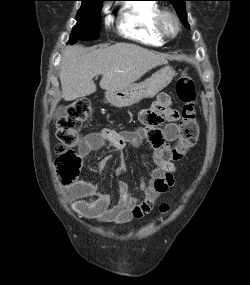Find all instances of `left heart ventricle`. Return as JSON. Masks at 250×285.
Segmentation results:
<instances>
[{
    "mask_svg": "<svg viewBox=\"0 0 250 285\" xmlns=\"http://www.w3.org/2000/svg\"><path fill=\"white\" fill-rule=\"evenodd\" d=\"M165 28H166V30H167L169 33H172L173 30H174V25H173V23H172L170 20H167V21L165 22Z\"/></svg>",
    "mask_w": 250,
    "mask_h": 285,
    "instance_id": "left-heart-ventricle-1",
    "label": "left heart ventricle"
}]
</instances>
